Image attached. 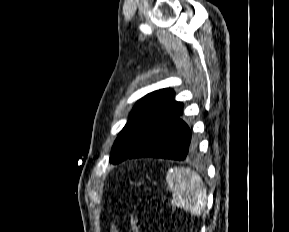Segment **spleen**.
I'll return each instance as SVG.
<instances>
[{"label":"spleen","mask_w":289,"mask_h":232,"mask_svg":"<svg viewBox=\"0 0 289 232\" xmlns=\"http://www.w3.org/2000/svg\"><path fill=\"white\" fill-rule=\"evenodd\" d=\"M168 189L175 193L172 205L200 216L207 203V190L201 177L188 167H175L166 176Z\"/></svg>","instance_id":"obj_1"}]
</instances>
